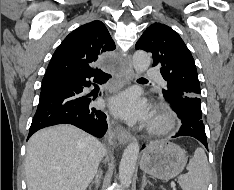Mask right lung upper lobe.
Masks as SVG:
<instances>
[{"label":"right lung upper lobe","instance_id":"right-lung-upper-lobe-1","mask_svg":"<svg viewBox=\"0 0 234 190\" xmlns=\"http://www.w3.org/2000/svg\"><path fill=\"white\" fill-rule=\"evenodd\" d=\"M115 49L105 25L98 20L71 32L54 52L43 80L83 68L93 69L107 52Z\"/></svg>","mask_w":234,"mask_h":190}]
</instances>
